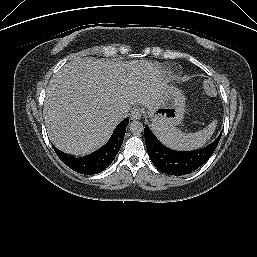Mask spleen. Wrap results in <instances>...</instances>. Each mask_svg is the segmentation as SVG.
<instances>
[{
    "label": "spleen",
    "mask_w": 257,
    "mask_h": 257,
    "mask_svg": "<svg viewBox=\"0 0 257 257\" xmlns=\"http://www.w3.org/2000/svg\"><path fill=\"white\" fill-rule=\"evenodd\" d=\"M217 120L196 133H183L176 127L162 128L152 125L156 137L167 147L179 151H190L201 148L214 133Z\"/></svg>",
    "instance_id": "obj_1"
}]
</instances>
